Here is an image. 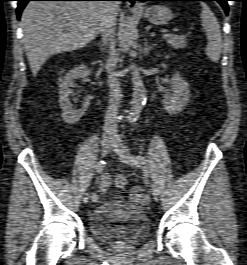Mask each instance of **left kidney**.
<instances>
[{
	"mask_svg": "<svg viewBox=\"0 0 247 265\" xmlns=\"http://www.w3.org/2000/svg\"><path fill=\"white\" fill-rule=\"evenodd\" d=\"M189 99L188 82L179 73H175L171 79L170 90L163 95L165 110L170 115H177L185 109Z\"/></svg>",
	"mask_w": 247,
	"mask_h": 265,
	"instance_id": "obj_1",
	"label": "left kidney"
}]
</instances>
